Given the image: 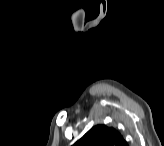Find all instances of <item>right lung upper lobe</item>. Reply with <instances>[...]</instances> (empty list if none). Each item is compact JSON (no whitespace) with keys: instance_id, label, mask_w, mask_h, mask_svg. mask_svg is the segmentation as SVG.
Here are the masks:
<instances>
[{"instance_id":"1","label":"right lung upper lobe","mask_w":164,"mask_h":146,"mask_svg":"<svg viewBox=\"0 0 164 146\" xmlns=\"http://www.w3.org/2000/svg\"><path fill=\"white\" fill-rule=\"evenodd\" d=\"M75 146H127L123 136L113 127L96 125Z\"/></svg>"}]
</instances>
